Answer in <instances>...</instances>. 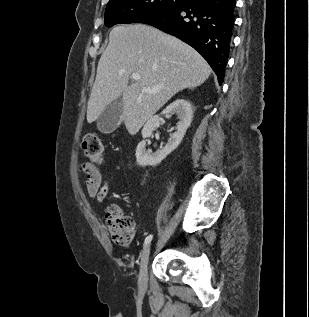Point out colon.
<instances>
[{
  "mask_svg": "<svg viewBox=\"0 0 309 317\" xmlns=\"http://www.w3.org/2000/svg\"><path fill=\"white\" fill-rule=\"evenodd\" d=\"M82 148L91 161L100 162L102 160L104 147L95 133H86L83 136ZM106 229L114 243L128 246L134 236L135 222L121 208L113 205L107 210Z\"/></svg>",
  "mask_w": 309,
  "mask_h": 317,
  "instance_id": "5ec220e1",
  "label": "colon"
}]
</instances>
